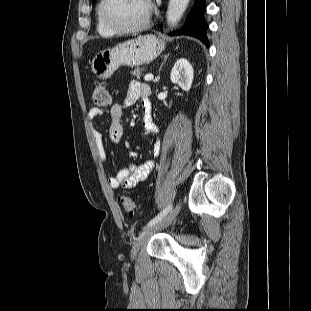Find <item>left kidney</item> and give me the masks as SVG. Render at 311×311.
<instances>
[{"instance_id": "obj_1", "label": "left kidney", "mask_w": 311, "mask_h": 311, "mask_svg": "<svg viewBox=\"0 0 311 311\" xmlns=\"http://www.w3.org/2000/svg\"><path fill=\"white\" fill-rule=\"evenodd\" d=\"M193 67L185 58H181L174 64L170 79L174 84H178L184 91H189L193 81Z\"/></svg>"}]
</instances>
